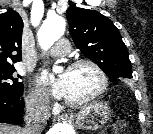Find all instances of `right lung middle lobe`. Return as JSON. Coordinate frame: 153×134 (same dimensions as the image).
Segmentation results:
<instances>
[{"label": "right lung middle lobe", "mask_w": 153, "mask_h": 134, "mask_svg": "<svg viewBox=\"0 0 153 134\" xmlns=\"http://www.w3.org/2000/svg\"><path fill=\"white\" fill-rule=\"evenodd\" d=\"M14 72V66L0 67V92L11 95L23 94V83L18 81L21 77H16Z\"/></svg>", "instance_id": "dd1d6c3e"}]
</instances>
